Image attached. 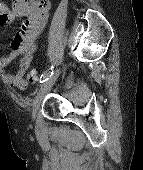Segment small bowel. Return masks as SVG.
<instances>
[{"label":"small bowel","mask_w":143,"mask_h":170,"mask_svg":"<svg viewBox=\"0 0 143 170\" xmlns=\"http://www.w3.org/2000/svg\"><path fill=\"white\" fill-rule=\"evenodd\" d=\"M52 7L50 0H11L10 5L0 2V22L4 25L13 23L16 17L25 21L10 41V52L0 57V68L8 67L20 58L16 73H5L10 86L24 89L27 81L24 78L30 68L36 51V39L45 27Z\"/></svg>","instance_id":"1"}]
</instances>
